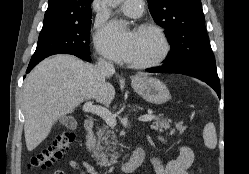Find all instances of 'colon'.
<instances>
[{
    "label": "colon",
    "mask_w": 249,
    "mask_h": 174,
    "mask_svg": "<svg viewBox=\"0 0 249 174\" xmlns=\"http://www.w3.org/2000/svg\"><path fill=\"white\" fill-rule=\"evenodd\" d=\"M75 140V133L67 130L59 134L54 143L43 151L35 154L29 166L33 169H45L59 159L71 147Z\"/></svg>",
    "instance_id": "obj_1"
}]
</instances>
